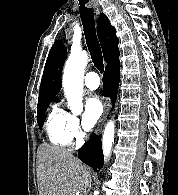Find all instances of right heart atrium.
Segmentation results:
<instances>
[{
    "label": "right heart atrium",
    "mask_w": 178,
    "mask_h": 195,
    "mask_svg": "<svg viewBox=\"0 0 178 195\" xmlns=\"http://www.w3.org/2000/svg\"><path fill=\"white\" fill-rule=\"evenodd\" d=\"M68 130L72 140L79 142L83 138V132L80 128L79 120L73 114H69Z\"/></svg>",
    "instance_id": "d8ad5b80"
}]
</instances>
